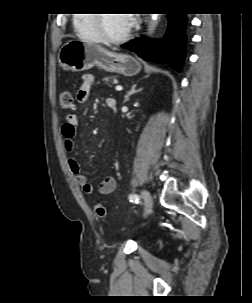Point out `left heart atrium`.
I'll use <instances>...</instances> for the list:
<instances>
[{
	"instance_id": "obj_1",
	"label": "left heart atrium",
	"mask_w": 252,
	"mask_h": 303,
	"mask_svg": "<svg viewBox=\"0 0 252 303\" xmlns=\"http://www.w3.org/2000/svg\"><path fill=\"white\" fill-rule=\"evenodd\" d=\"M130 22L132 21L131 17H129Z\"/></svg>"
}]
</instances>
